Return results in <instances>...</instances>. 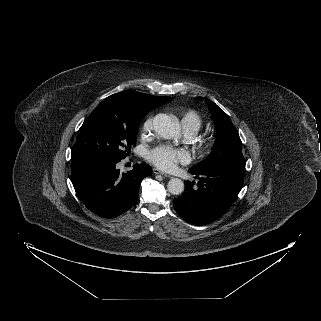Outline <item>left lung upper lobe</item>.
<instances>
[{
    "mask_svg": "<svg viewBox=\"0 0 321 321\" xmlns=\"http://www.w3.org/2000/svg\"><path fill=\"white\" fill-rule=\"evenodd\" d=\"M200 99L203 100L204 98L200 97ZM205 103L214 120L217 136L212 152L206 159L199 162L190 170H203L229 162H245L242 154V142L229 116L209 99H205Z\"/></svg>",
    "mask_w": 321,
    "mask_h": 321,
    "instance_id": "left-lung-upper-lobe-1",
    "label": "left lung upper lobe"
}]
</instances>
